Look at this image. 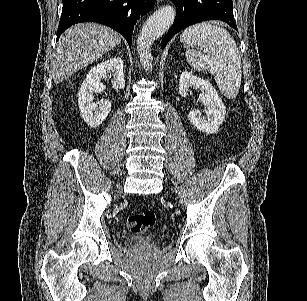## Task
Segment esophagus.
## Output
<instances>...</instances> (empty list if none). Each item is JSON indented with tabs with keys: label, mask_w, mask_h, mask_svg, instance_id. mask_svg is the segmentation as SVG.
<instances>
[{
	"label": "esophagus",
	"mask_w": 307,
	"mask_h": 301,
	"mask_svg": "<svg viewBox=\"0 0 307 301\" xmlns=\"http://www.w3.org/2000/svg\"><path fill=\"white\" fill-rule=\"evenodd\" d=\"M157 2H162V0H157Z\"/></svg>",
	"instance_id": "34e87169"
}]
</instances>
